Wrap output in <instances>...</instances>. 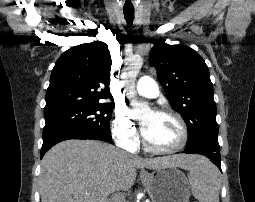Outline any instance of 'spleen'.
I'll use <instances>...</instances> for the list:
<instances>
[{"label": "spleen", "mask_w": 255, "mask_h": 202, "mask_svg": "<svg viewBox=\"0 0 255 202\" xmlns=\"http://www.w3.org/2000/svg\"><path fill=\"white\" fill-rule=\"evenodd\" d=\"M189 171L188 178L193 196L199 202H219V170L209 160L201 157Z\"/></svg>", "instance_id": "1"}]
</instances>
